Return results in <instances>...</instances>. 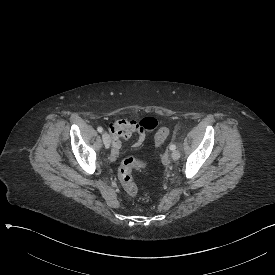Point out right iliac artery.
I'll list each match as a JSON object with an SVG mask.
<instances>
[{"instance_id": "right-iliac-artery-1", "label": "right iliac artery", "mask_w": 275, "mask_h": 275, "mask_svg": "<svg viewBox=\"0 0 275 275\" xmlns=\"http://www.w3.org/2000/svg\"><path fill=\"white\" fill-rule=\"evenodd\" d=\"M97 131L100 132V133H102L103 132V128L102 127H98Z\"/></svg>"}]
</instances>
